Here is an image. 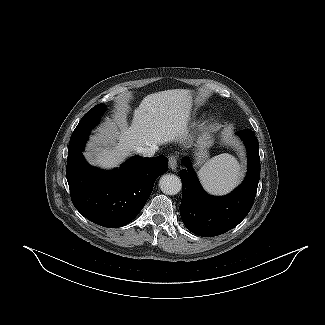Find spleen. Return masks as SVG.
Here are the masks:
<instances>
[{"mask_svg": "<svg viewBox=\"0 0 325 325\" xmlns=\"http://www.w3.org/2000/svg\"><path fill=\"white\" fill-rule=\"evenodd\" d=\"M198 176L208 193L223 195L238 185L241 168L234 156L224 153L209 159L198 172Z\"/></svg>", "mask_w": 325, "mask_h": 325, "instance_id": "obj_1", "label": "spleen"}]
</instances>
